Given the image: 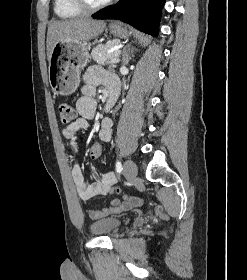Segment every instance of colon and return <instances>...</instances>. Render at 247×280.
Instances as JSON below:
<instances>
[{"label": "colon", "mask_w": 247, "mask_h": 280, "mask_svg": "<svg viewBox=\"0 0 247 280\" xmlns=\"http://www.w3.org/2000/svg\"><path fill=\"white\" fill-rule=\"evenodd\" d=\"M59 117L61 122L63 123H70L76 117L75 109L66 102L59 104ZM105 146V141L103 139H95L93 145L90 148V156L93 159L99 158L103 153Z\"/></svg>", "instance_id": "colon-1"}]
</instances>
